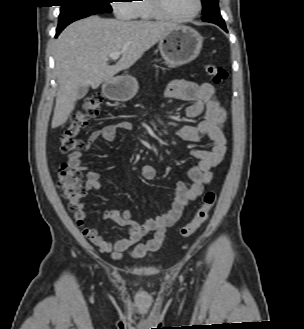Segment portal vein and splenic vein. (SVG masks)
Instances as JSON below:
<instances>
[{"instance_id":"18ae733b","label":"portal vein and splenic vein","mask_w":304,"mask_h":329,"mask_svg":"<svg viewBox=\"0 0 304 329\" xmlns=\"http://www.w3.org/2000/svg\"><path fill=\"white\" fill-rule=\"evenodd\" d=\"M121 52H114L109 55V59L116 61L119 59Z\"/></svg>"}]
</instances>
